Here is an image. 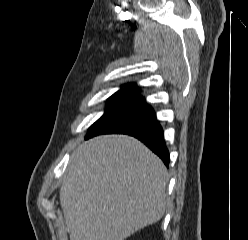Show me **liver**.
Masks as SVG:
<instances>
[{"label":"liver","instance_id":"liver-1","mask_svg":"<svg viewBox=\"0 0 248 240\" xmlns=\"http://www.w3.org/2000/svg\"><path fill=\"white\" fill-rule=\"evenodd\" d=\"M169 175L137 139L104 135L73 152L60 189L71 240H125L159 221Z\"/></svg>","mask_w":248,"mask_h":240}]
</instances>
